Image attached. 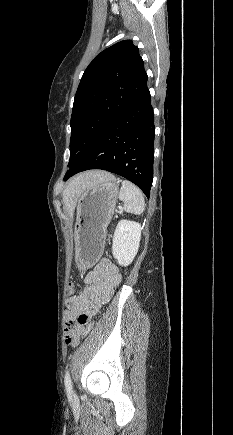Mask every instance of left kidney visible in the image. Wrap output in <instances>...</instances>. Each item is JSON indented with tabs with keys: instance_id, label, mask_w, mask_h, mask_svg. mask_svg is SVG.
<instances>
[{
	"instance_id": "left-kidney-1",
	"label": "left kidney",
	"mask_w": 233,
	"mask_h": 435,
	"mask_svg": "<svg viewBox=\"0 0 233 435\" xmlns=\"http://www.w3.org/2000/svg\"><path fill=\"white\" fill-rule=\"evenodd\" d=\"M141 239V225L130 220H121L115 230L112 254L122 266H128L135 258Z\"/></svg>"
}]
</instances>
